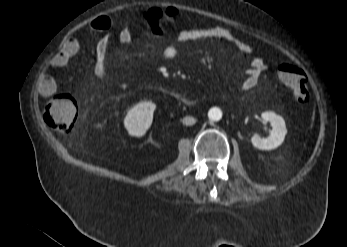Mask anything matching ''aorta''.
<instances>
[{
	"mask_svg": "<svg viewBox=\"0 0 347 247\" xmlns=\"http://www.w3.org/2000/svg\"><path fill=\"white\" fill-rule=\"evenodd\" d=\"M208 117L210 122L219 121L222 118V111L217 107L211 108L208 112Z\"/></svg>",
	"mask_w": 347,
	"mask_h": 247,
	"instance_id": "1",
	"label": "aorta"
}]
</instances>
